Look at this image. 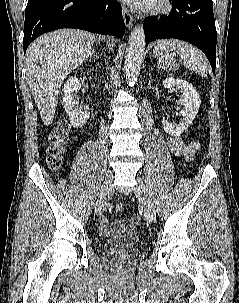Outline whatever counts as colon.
Instances as JSON below:
<instances>
[{"label": "colon", "instance_id": "1", "mask_svg": "<svg viewBox=\"0 0 239 303\" xmlns=\"http://www.w3.org/2000/svg\"><path fill=\"white\" fill-rule=\"evenodd\" d=\"M70 130V124L67 121H63L58 125L51 135L49 136L48 142V158L47 163L51 170L58 171L63 165L62 154L67 144L68 134ZM124 210L123 203H117L115 206V211L120 213ZM134 223L138 224L139 219L135 218Z\"/></svg>", "mask_w": 239, "mask_h": 303}]
</instances>
